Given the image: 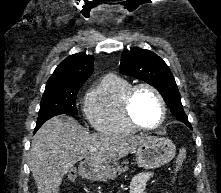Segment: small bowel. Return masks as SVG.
<instances>
[{"label":"small bowel","instance_id":"small-bowel-1","mask_svg":"<svg viewBox=\"0 0 221 193\" xmlns=\"http://www.w3.org/2000/svg\"><path fill=\"white\" fill-rule=\"evenodd\" d=\"M155 175L154 172H142L137 174L131 183L130 193H144L146 183Z\"/></svg>","mask_w":221,"mask_h":193}]
</instances>
